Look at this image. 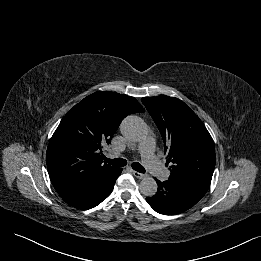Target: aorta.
<instances>
[{
    "label": "aorta",
    "instance_id": "obj_1",
    "mask_svg": "<svg viewBox=\"0 0 261 261\" xmlns=\"http://www.w3.org/2000/svg\"><path fill=\"white\" fill-rule=\"evenodd\" d=\"M122 135L131 141H141L147 135V127L143 120L137 116L126 117L120 126ZM140 191L144 196L152 197L156 194L158 186L156 181L150 177H144L139 185Z\"/></svg>",
    "mask_w": 261,
    "mask_h": 261
}]
</instances>
